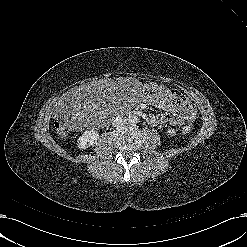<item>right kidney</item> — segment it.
Segmentation results:
<instances>
[{
    "label": "right kidney",
    "mask_w": 247,
    "mask_h": 247,
    "mask_svg": "<svg viewBox=\"0 0 247 247\" xmlns=\"http://www.w3.org/2000/svg\"><path fill=\"white\" fill-rule=\"evenodd\" d=\"M99 139V133L90 130V131H85L77 140V147L79 149H86L92 145H94L97 140Z\"/></svg>",
    "instance_id": "obj_1"
}]
</instances>
